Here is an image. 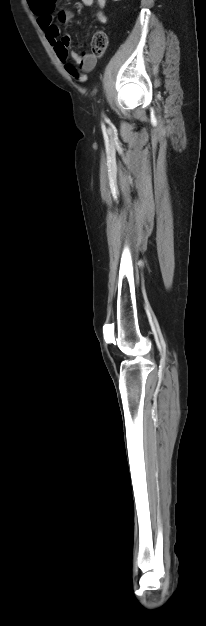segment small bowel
<instances>
[{
    "label": "small bowel",
    "instance_id": "c3829d8e",
    "mask_svg": "<svg viewBox=\"0 0 206 626\" xmlns=\"http://www.w3.org/2000/svg\"><path fill=\"white\" fill-rule=\"evenodd\" d=\"M86 6L96 4L100 9L96 13V19L101 24H106L108 19L103 13L107 0H82ZM29 6L37 16L40 28L45 33L49 44L54 49L59 61L68 74L77 81H82L81 76L94 69L97 59L91 53H78L71 50V39L68 35H61L59 25L67 24L73 17L70 10H62L58 13L57 21L54 18V0H28ZM71 57L76 64L69 61Z\"/></svg>",
    "mask_w": 206,
    "mask_h": 626
}]
</instances>
